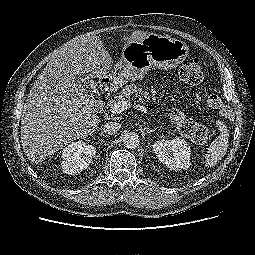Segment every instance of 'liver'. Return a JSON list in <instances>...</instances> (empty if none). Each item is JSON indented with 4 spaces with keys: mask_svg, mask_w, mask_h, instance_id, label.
Masks as SVG:
<instances>
[{
    "mask_svg": "<svg viewBox=\"0 0 255 255\" xmlns=\"http://www.w3.org/2000/svg\"><path fill=\"white\" fill-rule=\"evenodd\" d=\"M148 34L133 30L121 41L141 40ZM111 61L101 38L93 35L70 40L47 63L30 90L21 118V143L32 163L39 164L97 129L99 116L92 101L76 87V76L103 78Z\"/></svg>",
    "mask_w": 255,
    "mask_h": 255,
    "instance_id": "6515ba94",
    "label": "liver"
}]
</instances>
